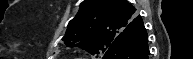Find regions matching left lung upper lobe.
<instances>
[{
	"label": "left lung upper lobe",
	"mask_w": 193,
	"mask_h": 59,
	"mask_svg": "<svg viewBox=\"0 0 193 59\" xmlns=\"http://www.w3.org/2000/svg\"><path fill=\"white\" fill-rule=\"evenodd\" d=\"M136 11L126 0H85L62 40L67 47H80L92 55L104 54L127 26L140 18Z\"/></svg>",
	"instance_id": "1"
}]
</instances>
